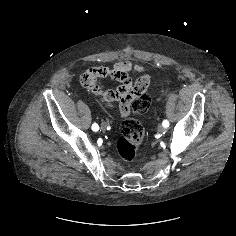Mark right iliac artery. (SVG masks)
Masks as SVG:
<instances>
[{"instance_id": "82829eb1", "label": "right iliac artery", "mask_w": 236, "mask_h": 236, "mask_svg": "<svg viewBox=\"0 0 236 236\" xmlns=\"http://www.w3.org/2000/svg\"><path fill=\"white\" fill-rule=\"evenodd\" d=\"M92 130H93V131H98V130H99L98 124L94 123V124L92 125Z\"/></svg>"}]
</instances>
